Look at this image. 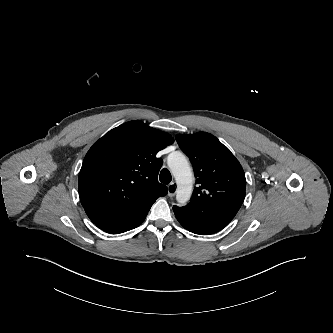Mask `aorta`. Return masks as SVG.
<instances>
[{"label": "aorta", "instance_id": "obj_1", "mask_svg": "<svg viewBox=\"0 0 333 333\" xmlns=\"http://www.w3.org/2000/svg\"><path fill=\"white\" fill-rule=\"evenodd\" d=\"M168 166L177 183L176 200L183 206L192 194L193 175L190 164L181 152H173L168 157Z\"/></svg>", "mask_w": 333, "mask_h": 333}]
</instances>
